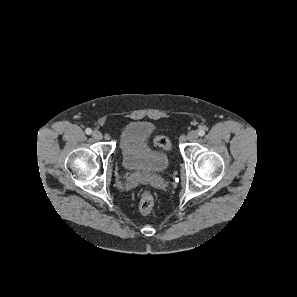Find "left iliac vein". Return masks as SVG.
Masks as SVG:
<instances>
[{"label":"left iliac vein","mask_w":297,"mask_h":297,"mask_svg":"<svg viewBox=\"0 0 297 297\" xmlns=\"http://www.w3.org/2000/svg\"><path fill=\"white\" fill-rule=\"evenodd\" d=\"M187 139L191 142H195L198 139L197 131H190L187 135Z\"/></svg>","instance_id":"obj_1"}]
</instances>
